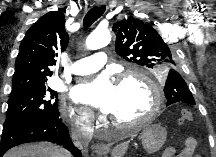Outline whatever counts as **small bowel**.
I'll return each mask as SVG.
<instances>
[{
	"instance_id": "1",
	"label": "small bowel",
	"mask_w": 216,
	"mask_h": 157,
	"mask_svg": "<svg viewBox=\"0 0 216 157\" xmlns=\"http://www.w3.org/2000/svg\"><path fill=\"white\" fill-rule=\"evenodd\" d=\"M197 142L193 137H188L185 140L183 149L178 153V157H192L195 153ZM175 155L174 148L166 149L164 157H172Z\"/></svg>"
}]
</instances>
